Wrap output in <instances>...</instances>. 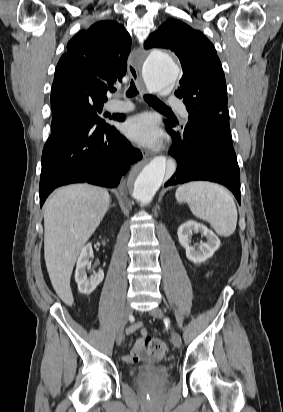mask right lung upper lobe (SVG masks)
Wrapping results in <instances>:
<instances>
[{"instance_id": "1", "label": "right lung upper lobe", "mask_w": 283, "mask_h": 412, "mask_svg": "<svg viewBox=\"0 0 283 412\" xmlns=\"http://www.w3.org/2000/svg\"><path fill=\"white\" fill-rule=\"evenodd\" d=\"M130 46V35L114 21L97 22L75 35L56 67L52 115L81 101L104 103L107 91L126 73Z\"/></svg>"}]
</instances>
